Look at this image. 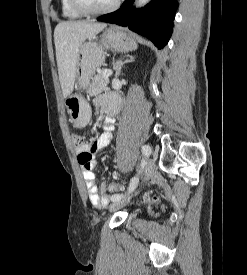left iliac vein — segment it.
<instances>
[{"mask_svg":"<svg viewBox=\"0 0 247 275\" xmlns=\"http://www.w3.org/2000/svg\"><path fill=\"white\" fill-rule=\"evenodd\" d=\"M156 174V163L154 159H148L146 168H145V176L144 181H147L153 178ZM129 198L124 197L123 199L114 201L110 206V211H115L126 204Z\"/></svg>","mask_w":247,"mask_h":275,"instance_id":"obj_1","label":"left iliac vein"}]
</instances>
